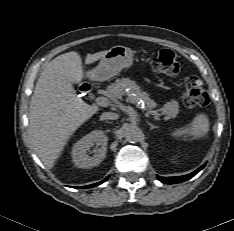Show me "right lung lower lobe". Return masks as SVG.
Returning a JSON list of instances; mask_svg holds the SVG:
<instances>
[{
  "label": "right lung lower lobe",
  "instance_id": "1",
  "mask_svg": "<svg viewBox=\"0 0 234 231\" xmlns=\"http://www.w3.org/2000/svg\"><path fill=\"white\" fill-rule=\"evenodd\" d=\"M107 179H108V177L106 179L102 180L101 182H98V183H95V184H92V185H88V186L76 187V188H90V187H94V186L100 185L101 183L105 182Z\"/></svg>",
  "mask_w": 234,
  "mask_h": 231
}]
</instances>
